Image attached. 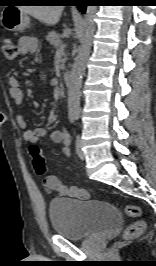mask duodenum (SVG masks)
Returning <instances> with one entry per match:
<instances>
[{
  "instance_id": "duodenum-1",
  "label": "duodenum",
  "mask_w": 156,
  "mask_h": 266,
  "mask_svg": "<svg viewBox=\"0 0 156 266\" xmlns=\"http://www.w3.org/2000/svg\"><path fill=\"white\" fill-rule=\"evenodd\" d=\"M63 82L68 85L71 82V74L69 72H65L62 76Z\"/></svg>"
}]
</instances>
